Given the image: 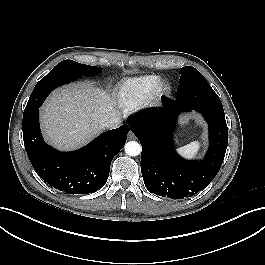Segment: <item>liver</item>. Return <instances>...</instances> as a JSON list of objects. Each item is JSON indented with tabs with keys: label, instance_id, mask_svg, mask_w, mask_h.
<instances>
[{
	"label": "liver",
	"instance_id": "6515ba94",
	"mask_svg": "<svg viewBox=\"0 0 265 265\" xmlns=\"http://www.w3.org/2000/svg\"><path fill=\"white\" fill-rule=\"evenodd\" d=\"M117 115L114 99L100 88L74 83L57 89L41 107L46 141L59 150L87 144Z\"/></svg>",
	"mask_w": 265,
	"mask_h": 265
}]
</instances>
